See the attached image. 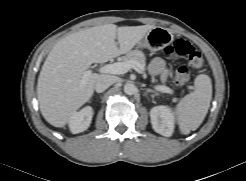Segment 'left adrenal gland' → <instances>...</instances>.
Wrapping results in <instances>:
<instances>
[{"instance_id": "a2214340", "label": "left adrenal gland", "mask_w": 246, "mask_h": 181, "mask_svg": "<svg viewBox=\"0 0 246 181\" xmlns=\"http://www.w3.org/2000/svg\"><path fill=\"white\" fill-rule=\"evenodd\" d=\"M146 92H148V93H154L155 95H157V93L154 90H152V89H146Z\"/></svg>"}]
</instances>
